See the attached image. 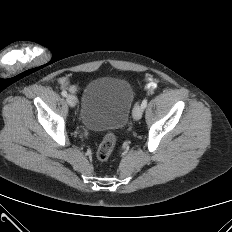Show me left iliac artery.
Wrapping results in <instances>:
<instances>
[{
    "label": "left iliac artery",
    "mask_w": 232,
    "mask_h": 232,
    "mask_svg": "<svg viewBox=\"0 0 232 232\" xmlns=\"http://www.w3.org/2000/svg\"><path fill=\"white\" fill-rule=\"evenodd\" d=\"M147 99H144L143 101H142V104H141V106L143 107V109H145L146 108V106H147Z\"/></svg>",
    "instance_id": "1"
}]
</instances>
